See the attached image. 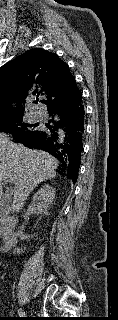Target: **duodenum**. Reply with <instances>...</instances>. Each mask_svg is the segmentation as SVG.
I'll list each match as a JSON object with an SVG mask.
<instances>
[{
  "mask_svg": "<svg viewBox=\"0 0 118 320\" xmlns=\"http://www.w3.org/2000/svg\"><path fill=\"white\" fill-rule=\"evenodd\" d=\"M17 220L10 215H2L0 218V237L3 240V250L11 249L17 241L15 227Z\"/></svg>",
  "mask_w": 118,
  "mask_h": 320,
  "instance_id": "duodenum-1",
  "label": "duodenum"
}]
</instances>
